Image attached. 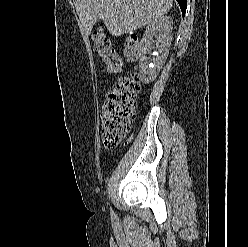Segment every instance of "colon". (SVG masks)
Segmentation results:
<instances>
[{
	"instance_id": "obj_1",
	"label": "colon",
	"mask_w": 248,
	"mask_h": 247,
	"mask_svg": "<svg viewBox=\"0 0 248 247\" xmlns=\"http://www.w3.org/2000/svg\"><path fill=\"white\" fill-rule=\"evenodd\" d=\"M97 53L106 65L107 72L118 74L123 64L119 54L110 46L102 31L93 35ZM138 38L134 34L125 37V56L127 61L137 58ZM140 90L139 76L136 73L121 78L108 93L101 117V135L105 147L113 149L126 137L135 118L136 96Z\"/></svg>"
}]
</instances>
